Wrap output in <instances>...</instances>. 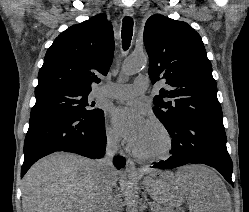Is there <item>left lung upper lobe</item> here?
<instances>
[{"label":"left lung upper lobe","instance_id":"left-lung-upper-lobe-1","mask_svg":"<svg viewBox=\"0 0 249 212\" xmlns=\"http://www.w3.org/2000/svg\"><path fill=\"white\" fill-rule=\"evenodd\" d=\"M144 44L152 83L164 79L170 87L162 88L153 101L164 126L186 117L222 118L211 63L200 35L189 24L154 14L145 24Z\"/></svg>","mask_w":249,"mask_h":212}]
</instances>
